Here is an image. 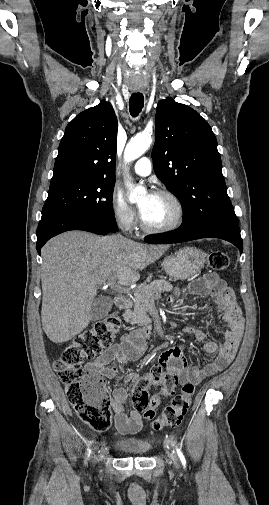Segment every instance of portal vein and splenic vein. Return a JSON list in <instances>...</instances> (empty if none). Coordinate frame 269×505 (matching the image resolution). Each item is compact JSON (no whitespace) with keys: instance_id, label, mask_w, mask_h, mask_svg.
Listing matches in <instances>:
<instances>
[{"instance_id":"obj_1","label":"portal vein and splenic vein","mask_w":269,"mask_h":505,"mask_svg":"<svg viewBox=\"0 0 269 505\" xmlns=\"http://www.w3.org/2000/svg\"><path fill=\"white\" fill-rule=\"evenodd\" d=\"M114 282H115V281H114ZM114 282H109L108 286H109L111 289H113V290H115V291H118V292H122V291H124V288H123V287H121V286H119V285L115 284Z\"/></svg>"}]
</instances>
